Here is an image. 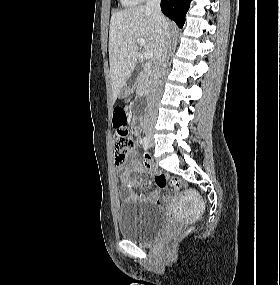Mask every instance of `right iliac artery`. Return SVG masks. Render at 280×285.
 Returning <instances> with one entry per match:
<instances>
[{"label":"right iliac artery","instance_id":"obj_1","mask_svg":"<svg viewBox=\"0 0 280 285\" xmlns=\"http://www.w3.org/2000/svg\"><path fill=\"white\" fill-rule=\"evenodd\" d=\"M142 144H143L144 150L147 151L148 148H149V140H148L147 137H143V139H142Z\"/></svg>","mask_w":280,"mask_h":285}]
</instances>
